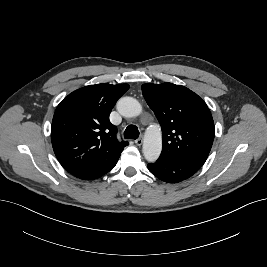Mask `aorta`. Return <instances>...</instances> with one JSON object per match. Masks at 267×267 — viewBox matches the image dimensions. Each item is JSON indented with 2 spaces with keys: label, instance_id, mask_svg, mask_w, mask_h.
I'll use <instances>...</instances> for the list:
<instances>
[{
  "label": "aorta",
  "instance_id": "aorta-1",
  "mask_svg": "<svg viewBox=\"0 0 267 267\" xmlns=\"http://www.w3.org/2000/svg\"><path fill=\"white\" fill-rule=\"evenodd\" d=\"M117 110L124 117H136L141 114V104L132 97H122L117 102ZM162 150L161 128L151 126L145 133L143 142V154L148 162H155Z\"/></svg>",
  "mask_w": 267,
  "mask_h": 267
}]
</instances>
